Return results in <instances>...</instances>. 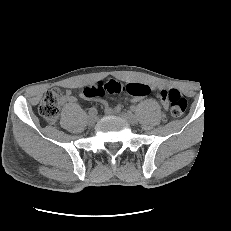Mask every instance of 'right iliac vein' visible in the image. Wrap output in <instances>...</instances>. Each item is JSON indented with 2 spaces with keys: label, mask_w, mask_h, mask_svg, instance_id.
<instances>
[{
  "label": "right iliac vein",
  "mask_w": 231,
  "mask_h": 231,
  "mask_svg": "<svg viewBox=\"0 0 231 231\" xmlns=\"http://www.w3.org/2000/svg\"><path fill=\"white\" fill-rule=\"evenodd\" d=\"M97 121L96 115H89L88 117V124L89 125H94Z\"/></svg>",
  "instance_id": "obj_1"
}]
</instances>
